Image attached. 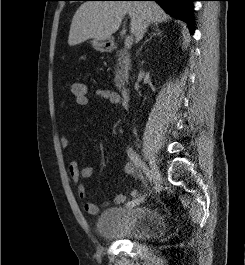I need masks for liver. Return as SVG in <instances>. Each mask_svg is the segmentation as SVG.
Segmentation results:
<instances>
[{"instance_id":"obj_1","label":"liver","mask_w":245,"mask_h":265,"mask_svg":"<svg viewBox=\"0 0 245 265\" xmlns=\"http://www.w3.org/2000/svg\"><path fill=\"white\" fill-rule=\"evenodd\" d=\"M128 14L130 32L139 42L150 23H162L169 15L155 2L86 1L73 16L68 44L74 46L88 39H110Z\"/></svg>"}]
</instances>
